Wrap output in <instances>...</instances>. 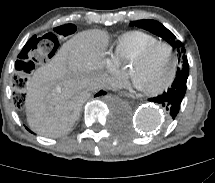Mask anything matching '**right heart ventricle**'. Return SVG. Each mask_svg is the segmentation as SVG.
I'll list each match as a JSON object with an SVG mask.
<instances>
[{"instance_id": "right-heart-ventricle-1", "label": "right heart ventricle", "mask_w": 215, "mask_h": 183, "mask_svg": "<svg viewBox=\"0 0 215 183\" xmlns=\"http://www.w3.org/2000/svg\"><path fill=\"white\" fill-rule=\"evenodd\" d=\"M160 42L155 35L132 30L122 34L115 45V56L122 62H132L133 59L147 47Z\"/></svg>"}]
</instances>
